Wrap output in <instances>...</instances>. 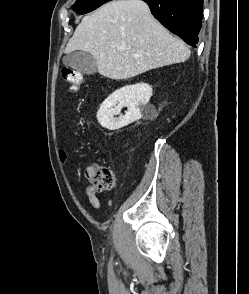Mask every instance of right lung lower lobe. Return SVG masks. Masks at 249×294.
Listing matches in <instances>:
<instances>
[{
    "label": "right lung lower lobe",
    "instance_id": "right-lung-lower-lobe-1",
    "mask_svg": "<svg viewBox=\"0 0 249 294\" xmlns=\"http://www.w3.org/2000/svg\"><path fill=\"white\" fill-rule=\"evenodd\" d=\"M167 29L196 47L202 26L203 0H143Z\"/></svg>",
    "mask_w": 249,
    "mask_h": 294
}]
</instances>
